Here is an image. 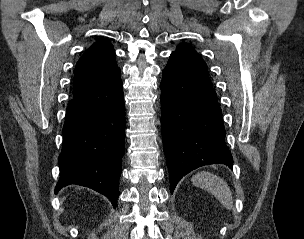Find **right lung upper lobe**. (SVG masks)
I'll return each instance as SVG.
<instances>
[{"mask_svg":"<svg viewBox=\"0 0 304 239\" xmlns=\"http://www.w3.org/2000/svg\"><path fill=\"white\" fill-rule=\"evenodd\" d=\"M119 70L110 41L106 39L97 41L77 62L73 96L95 88Z\"/></svg>","mask_w":304,"mask_h":239,"instance_id":"obj_1","label":"right lung upper lobe"}]
</instances>
